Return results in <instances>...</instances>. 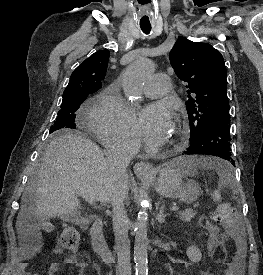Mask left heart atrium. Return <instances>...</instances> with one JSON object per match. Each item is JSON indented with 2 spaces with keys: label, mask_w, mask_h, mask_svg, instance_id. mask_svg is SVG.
Instances as JSON below:
<instances>
[{
  "label": "left heart atrium",
  "mask_w": 263,
  "mask_h": 275,
  "mask_svg": "<svg viewBox=\"0 0 263 275\" xmlns=\"http://www.w3.org/2000/svg\"><path fill=\"white\" fill-rule=\"evenodd\" d=\"M172 127V114L164 104H155L141 110L138 119V130L143 139L150 145L163 142Z\"/></svg>",
  "instance_id": "39dd6f15"
}]
</instances>
